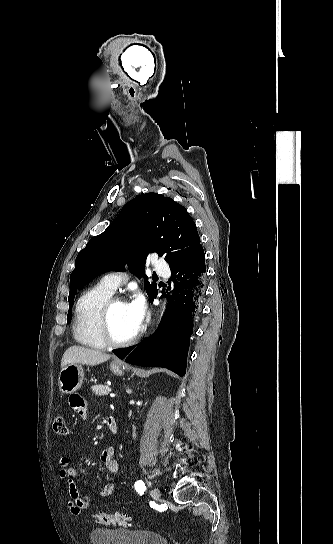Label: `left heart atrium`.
I'll list each match as a JSON object with an SVG mask.
<instances>
[{
	"instance_id": "left-heart-atrium-1",
	"label": "left heart atrium",
	"mask_w": 333,
	"mask_h": 544,
	"mask_svg": "<svg viewBox=\"0 0 333 544\" xmlns=\"http://www.w3.org/2000/svg\"><path fill=\"white\" fill-rule=\"evenodd\" d=\"M127 306H128V310H129L131 319L133 321V324L135 325L137 329H139L144 319L145 310H146L144 297L140 294L136 295L134 299L127 304Z\"/></svg>"
}]
</instances>
